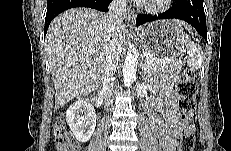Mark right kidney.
<instances>
[{
	"label": "right kidney",
	"instance_id": "ca27d5eb",
	"mask_svg": "<svg viewBox=\"0 0 231 151\" xmlns=\"http://www.w3.org/2000/svg\"><path fill=\"white\" fill-rule=\"evenodd\" d=\"M66 121L76 140L84 143L91 138L95 130L96 113L86 100L79 99L66 111Z\"/></svg>",
	"mask_w": 231,
	"mask_h": 151
}]
</instances>
